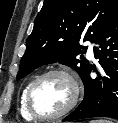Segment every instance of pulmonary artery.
Returning <instances> with one entry per match:
<instances>
[{"mask_svg":"<svg viewBox=\"0 0 118 123\" xmlns=\"http://www.w3.org/2000/svg\"><path fill=\"white\" fill-rule=\"evenodd\" d=\"M87 45H88L87 55H88L89 58H93L94 57L95 44L91 41H88Z\"/></svg>","mask_w":118,"mask_h":123,"instance_id":"obj_1","label":"pulmonary artery"}]
</instances>
